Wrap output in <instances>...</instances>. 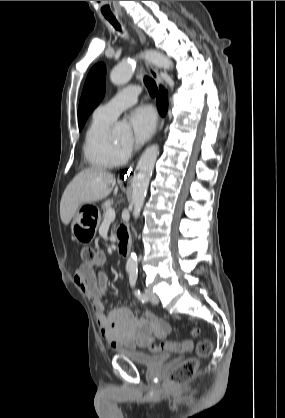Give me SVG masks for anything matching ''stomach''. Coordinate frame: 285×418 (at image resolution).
<instances>
[{
	"label": "stomach",
	"instance_id": "1",
	"mask_svg": "<svg viewBox=\"0 0 285 418\" xmlns=\"http://www.w3.org/2000/svg\"><path fill=\"white\" fill-rule=\"evenodd\" d=\"M100 221V212L96 206H81L74 215L71 224V231L74 238L82 243L91 241L96 234Z\"/></svg>",
	"mask_w": 285,
	"mask_h": 418
}]
</instances>
